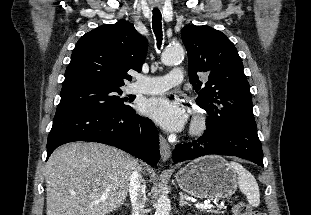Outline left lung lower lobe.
<instances>
[{
  "instance_id": "0a47b994",
  "label": "left lung lower lobe",
  "mask_w": 311,
  "mask_h": 215,
  "mask_svg": "<svg viewBox=\"0 0 311 215\" xmlns=\"http://www.w3.org/2000/svg\"><path fill=\"white\" fill-rule=\"evenodd\" d=\"M208 154L232 155L263 166V152L253 118H234L207 130L191 143L176 145L173 161L191 160Z\"/></svg>"
}]
</instances>
